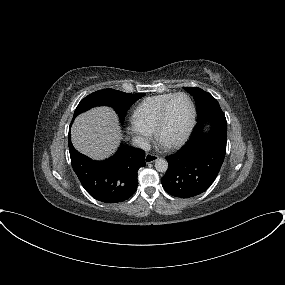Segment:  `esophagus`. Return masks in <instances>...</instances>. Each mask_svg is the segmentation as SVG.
I'll return each instance as SVG.
<instances>
[{
  "label": "esophagus",
  "instance_id": "obj_1",
  "mask_svg": "<svg viewBox=\"0 0 285 285\" xmlns=\"http://www.w3.org/2000/svg\"><path fill=\"white\" fill-rule=\"evenodd\" d=\"M157 159H158V156H157V155H154V154H151V153H147V154L145 155V162H146L147 164L153 163V162H155Z\"/></svg>",
  "mask_w": 285,
  "mask_h": 285
}]
</instances>
